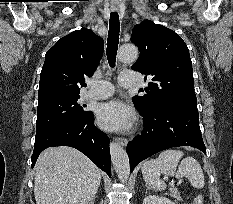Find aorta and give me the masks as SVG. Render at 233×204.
I'll use <instances>...</instances> for the list:
<instances>
[{
  "label": "aorta",
  "mask_w": 233,
  "mask_h": 204,
  "mask_svg": "<svg viewBox=\"0 0 233 204\" xmlns=\"http://www.w3.org/2000/svg\"><path fill=\"white\" fill-rule=\"evenodd\" d=\"M121 62L131 63L138 58V49L132 44L122 45L118 50ZM110 154L114 169L121 182H126L130 174L129 158L123 147L117 143H110Z\"/></svg>",
  "instance_id": "obj_1"
}]
</instances>
